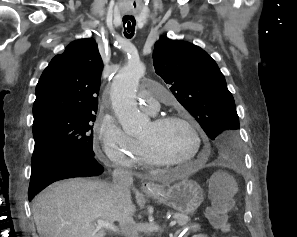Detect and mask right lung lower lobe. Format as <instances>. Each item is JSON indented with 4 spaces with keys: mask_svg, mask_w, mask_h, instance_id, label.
Wrapping results in <instances>:
<instances>
[{
    "mask_svg": "<svg viewBox=\"0 0 297 237\" xmlns=\"http://www.w3.org/2000/svg\"><path fill=\"white\" fill-rule=\"evenodd\" d=\"M102 172L103 167L93 155L76 149L62 148L42 153L32 160L28 197L33 199L55 181L74 177H95Z\"/></svg>",
    "mask_w": 297,
    "mask_h": 237,
    "instance_id": "right-lung-lower-lobe-1",
    "label": "right lung lower lobe"
}]
</instances>
